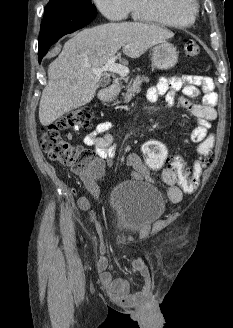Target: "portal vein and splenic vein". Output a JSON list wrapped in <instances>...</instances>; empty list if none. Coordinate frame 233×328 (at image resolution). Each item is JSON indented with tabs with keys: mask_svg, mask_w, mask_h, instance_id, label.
Segmentation results:
<instances>
[{
	"mask_svg": "<svg viewBox=\"0 0 233 328\" xmlns=\"http://www.w3.org/2000/svg\"><path fill=\"white\" fill-rule=\"evenodd\" d=\"M117 59V56H113L110 59H108L107 63L99 68H93L92 72L96 75H101L103 72H111L116 73L121 76H126L129 73V69L123 65L115 63Z\"/></svg>",
	"mask_w": 233,
	"mask_h": 328,
	"instance_id": "obj_1",
	"label": "portal vein and splenic vein"
}]
</instances>
